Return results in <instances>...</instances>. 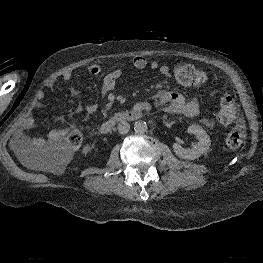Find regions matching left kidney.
Here are the masks:
<instances>
[{
	"label": "left kidney",
	"mask_w": 263,
	"mask_h": 263,
	"mask_svg": "<svg viewBox=\"0 0 263 263\" xmlns=\"http://www.w3.org/2000/svg\"><path fill=\"white\" fill-rule=\"evenodd\" d=\"M189 134H194L199 140L191 149H184L179 143L173 145L175 154L181 159L194 160L206 153L211 145L206 131L199 125H190L187 128Z\"/></svg>",
	"instance_id": "5707ae66"
}]
</instances>
